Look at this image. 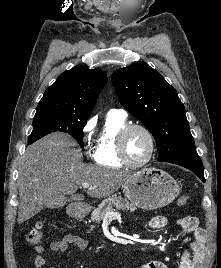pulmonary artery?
Here are the masks:
<instances>
[{"instance_id":"obj_1","label":"pulmonary artery","mask_w":221,"mask_h":268,"mask_svg":"<svg viewBox=\"0 0 221 268\" xmlns=\"http://www.w3.org/2000/svg\"><path fill=\"white\" fill-rule=\"evenodd\" d=\"M108 114H115L121 117H126L127 113L123 109H111Z\"/></svg>"}]
</instances>
